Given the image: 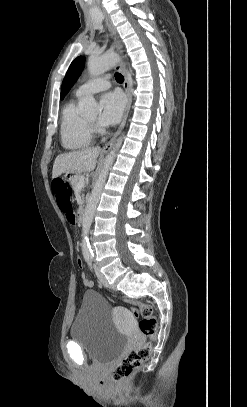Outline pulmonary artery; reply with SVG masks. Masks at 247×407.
<instances>
[{
    "mask_svg": "<svg viewBox=\"0 0 247 407\" xmlns=\"http://www.w3.org/2000/svg\"><path fill=\"white\" fill-rule=\"evenodd\" d=\"M110 85L109 76L94 78L80 85L76 90V96L83 97L89 94H94L108 89Z\"/></svg>",
    "mask_w": 247,
    "mask_h": 407,
    "instance_id": "1",
    "label": "pulmonary artery"
}]
</instances>
